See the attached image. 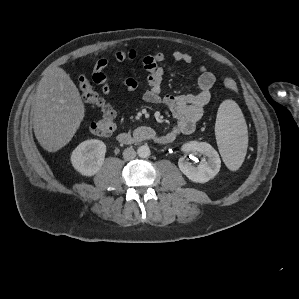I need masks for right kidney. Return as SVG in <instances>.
Instances as JSON below:
<instances>
[{"label":"right kidney","instance_id":"obj_1","mask_svg":"<svg viewBox=\"0 0 299 299\" xmlns=\"http://www.w3.org/2000/svg\"><path fill=\"white\" fill-rule=\"evenodd\" d=\"M106 153L104 142L91 139L80 143L71 154L74 169L83 176L91 177L102 167Z\"/></svg>","mask_w":299,"mask_h":299}]
</instances>
